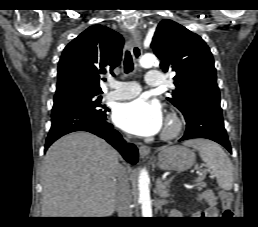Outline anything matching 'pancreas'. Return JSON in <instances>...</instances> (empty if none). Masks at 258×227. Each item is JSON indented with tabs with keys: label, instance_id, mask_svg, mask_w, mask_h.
<instances>
[{
	"label": "pancreas",
	"instance_id": "cf45deb5",
	"mask_svg": "<svg viewBox=\"0 0 258 227\" xmlns=\"http://www.w3.org/2000/svg\"><path fill=\"white\" fill-rule=\"evenodd\" d=\"M204 178H205V174H203L201 176V178L199 179V183H198V186H197L198 190H201L203 187L206 186V184L202 181Z\"/></svg>",
	"mask_w": 258,
	"mask_h": 227
}]
</instances>
